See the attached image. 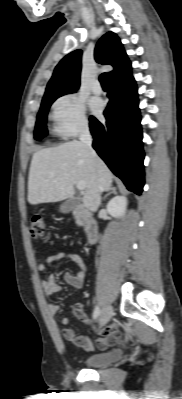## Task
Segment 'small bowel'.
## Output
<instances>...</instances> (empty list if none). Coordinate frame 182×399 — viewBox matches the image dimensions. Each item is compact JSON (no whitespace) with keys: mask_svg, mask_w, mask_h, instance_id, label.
I'll use <instances>...</instances> for the list:
<instances>
[{"mask_svg":"<svg viewBox=\"0 0 182 399\" xmlns=\"http://www.w3.org/2000/svg\"><path fill=\"white\" fill-rule=\"evenodd\" d=\"M61 260H69L76 265V273L66 275V281L75 288H81L84 285L85 281L86 265L82 257L77 253L59 251L54 254L48 255L45 257L43 263L38 264L37 269L39 272H44L47 265H51ZM41 285L45 297L49 300L53 297V295L57 294L61 296L63 293V288L57 283L56 276L54 274H50L47 279L42 281ZM59 311L60 306L57 302L49 303L48 312L52 317L57 316ZM73 313L81 321L90 325L98 334L99 338L96 341V348H98L99 350H104L110 346H113L120 340L121 329L116 324H110L101 329L93 327L92 323L86 316L83 306L81 304H77L74 306ZM59 323L62 327V335L68 342L86 351L93 350V345L86 335L77 336L75 334V331L68 327L69 320L67 317H61Z\"/></svg>","mask_w":182,"mask_h":399,"instance_id":"1","label":"small bowel"}]
</instances>
